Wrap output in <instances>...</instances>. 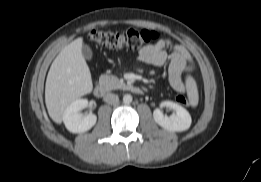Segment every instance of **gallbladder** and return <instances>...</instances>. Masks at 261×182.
<instances>
[{
	"mask_svg": "<svg viewBox=\"0 0 261 182\" xmlns=\"http://www.w3.org/2000/svg\"><path fill=\"white\" fill-rule=\"evenodd\" d=\"M82 55L86 60H91L93 53L91 48L88 45H83L82 47Z\"/></svg>",
	"mask_w": 261,
	"mask_h": 182,
	"instance_id": "obj_1",
	"label": "gallbladder"
}]
</instances>
